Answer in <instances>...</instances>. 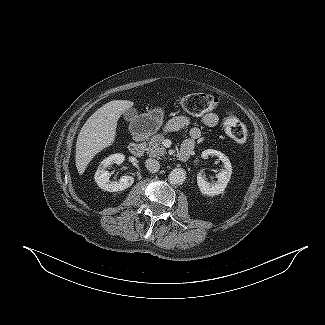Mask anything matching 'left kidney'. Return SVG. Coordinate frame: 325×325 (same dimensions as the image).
Listing matches in <instances>:
<instances>
[{
	"instance_id": "1",
	"label": "left kidney",
	"mask_w": 325,
	"mask_h": 325,
	"mask_svg": "<svg viewBox=\"0 0 325 325\" xmlns=\"http://www.w3.org/2000/svg\"><path fill=\"white\" fill-rule=\"evenodd\" d=\"M208 156H216L224 164V170L218 173L217 182L209 183L200 173L197 175V184L200 192L203 195L215 196L224 193L232 174L231 162L226 155L220 151L208 149L202 152V158L206 159Z\"/></svg>"
}]
</instances>
